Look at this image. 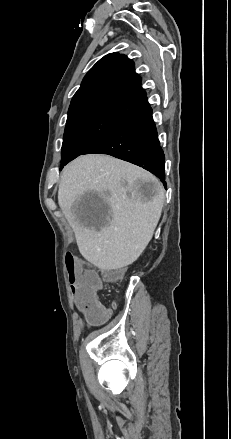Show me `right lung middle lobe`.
Returning <instances> with one entry per match:
<instances>
[{"label": "right lung middle lobe", "instance_id": "1", "mask_svg": "<svg viewBox=\"0 0 231 439\" xmlns=\"http://www.w3.org/2000/svg\"><path fill=\"white\" fill-rule=\"evenodd\" d=\"M123 119L103 114L68 117L61 151L60 170L82 155Z\"/></svg>", "mask_w": 231, "mask_h": 439}]
</instances>
